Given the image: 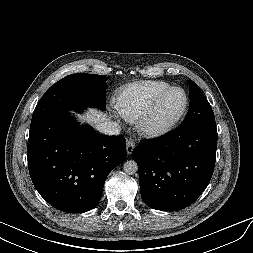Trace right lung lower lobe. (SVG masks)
I'll list each match as a JSON object with an SVG mask.
<instances>
[{"mask_svg": "<svg viewBox=\"0 0 253 253\" xmlns=\"http://www.w3.org/2000/svg\"><path fill=\"white\" fill-rule=\"evenodd\" d=\"M125 158L123 136L95 133L69 112L30 126V177L39 194L58 210L82 213L94 208L108 174Z\"/></svg>", "mask_w": 253, "mask_h": 253, "instance_id": "right-lung-lower-lobe-1", "label": "right lung lower lobe"}]
</instances>
